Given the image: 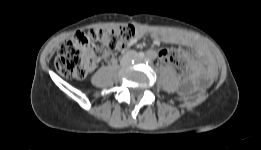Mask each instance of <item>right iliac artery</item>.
<instances>
[{"instance_id": "right-iliac-artery-1", "label": "right iliac artery", "mask_w": 261, "mask_h": 150, "mask_svg": "<svg viewBox=\"0 0 261 150\" xmlns=\"http://www.w3.org/2000/svg\"><path fill=\"white\" fill-rule=\"evenodd\" d=\"M138 57H139V58H144V57H145V54H144L143 52H139V53H138Z\"/></svg>"}]
</instances>
